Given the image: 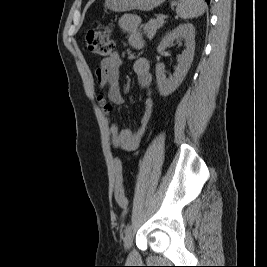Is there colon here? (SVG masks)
Here are the masks:
<instances>
[{"mask_svg":"<svg viewBox=\"0 0 267 267\" xmlns=\"http://www.w3.org/2000/svg\"><path fill=\"white\" fill-rule=\"evenodd\" d=\"M86 44L88 49L104 59L109 58L113 54L114 43L111 39L110 30L102 25H96L90 29L86 35ZM114 195L118 205L126 209L128 207V199L125 195L123 186V165L119 158L114 160Z\"/></svg>","mask_w":267,"mask_h":267,"instance_id":"5ec220e1","label":"colon"}]
</instances>
